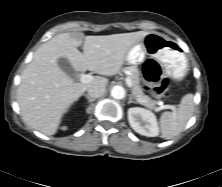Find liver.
<instances>
[{
  "instance_id": "6515ba94",
  "label": "liver",
  "mask_w": 222,
  "mask_h": 187,
  "mask_svg": "<svg viewBox=\"0 0 222 187\" xmlns=\"http://www.w3.org/2000/svg\"><path fill=\"white\" fill-rule=\"evenodd\" d=\"M146 31L102 36H84L80 32L62 33L42 44L21 75L17 102L22 119L45 135H54L63 113L89 87L106 86L104 76L115 75L126 61L129 50L140 43ZM83 44V53L78 47ZM66 58L77 72L93 71L90 83H74L58 65Z\"/></svg>"
}]
</instances>
